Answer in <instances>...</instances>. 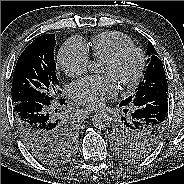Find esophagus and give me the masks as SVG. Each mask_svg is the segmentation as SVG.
<instances>
[{"instance_id":"obj_1","label":"esophagus","mask_w":184,"mask_h":184,"mask_svg":"<svg viewBox=\"0 0 184 184\" xmlns=\"http://www.w3.org/2000/svg\"><path fill=\"white\" fill-rule=\"evenodd\" d=\"M94 112H98V110H95V111H93V110H85V113H87V114L94 113Z\"/></svg>"}]
</instances>
